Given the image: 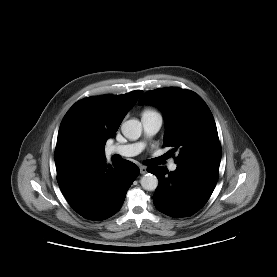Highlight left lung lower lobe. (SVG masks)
<instances>
[{
  "instance_id": "obj_1",
  "label": "left lung lower lobe",
  "mask_w": 277,
  "mask_h": 277,
  "mask_svg": "<svg viewBox=\"0 0 277 277\" xmlns=\"http://www.w3.org/2000/svg\"><path fill=\"white\" fill-rule=\"evenodd\" d=\"M148 171L159 179L153 195L155 207L168 216L181 218L193 215L208 201L218 181L219 162L177 165L171 172L155 166Z\"/></svg>"
}]
</instances>
